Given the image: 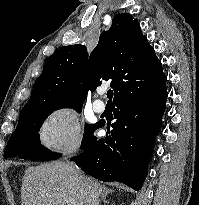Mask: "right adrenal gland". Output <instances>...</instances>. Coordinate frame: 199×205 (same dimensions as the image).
I'll return each instance as SVG.
<instances>
[{"instance_id":"right-adrenal-gland-1","label":"right adrenal gland","mask_w":199,"mask_h":205,"mask_svg":"<svg viewBox=\"0 0 199 205\" xmlns=\"http://www.w3.org/2000/svg\"><path fill=\"white\" fill-rule=\"evenodd\" d=\"M112 192V190L111 189H107V188H103V192H102V202L104 203V204H107L108 203V201L106 200V197H107V195L109 194V193H111Z\"/></svg>"}]
</instances>
